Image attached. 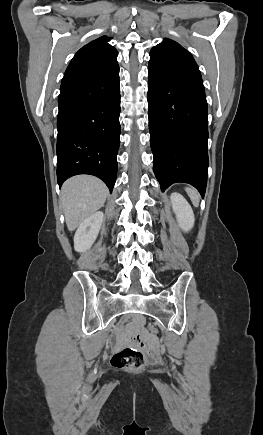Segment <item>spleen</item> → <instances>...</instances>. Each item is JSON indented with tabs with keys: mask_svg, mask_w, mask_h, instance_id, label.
Wrapping results in <instances>:
<instances>
[{
	"mask_svg": "<svg viewBox=\"0 0 263 435\" xmlns=\"http://www.w3.org/2000/svg\"><path fill=\"white\" fill-rule=\"evenodd\" d=\"M185 190H186L188 196L190 197L193 205L198 206L199 201H200V196H199L198 192L195 189L190 188V187H186Z\"/></svg>",
	"mask_w": 263,
	"mask_h": 435,
	"instance_id": "obj_1",
	"label": "spleen"
}]
</instances>
